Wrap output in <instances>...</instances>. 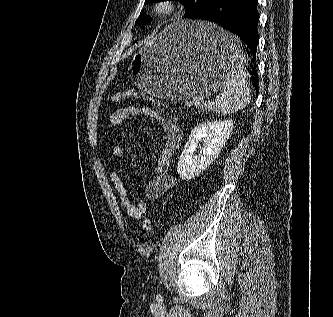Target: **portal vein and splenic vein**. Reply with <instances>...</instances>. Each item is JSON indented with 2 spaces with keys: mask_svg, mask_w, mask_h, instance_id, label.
Masks as SVG:
<instances>
[{
  "mask_svg": "<svg viewBox=\"0 0 333 317\" xmlns=\"http://www.w3.org/2000/svg\"><path fill=\"white\" fill-rule=\"evenodd\" d=\"M199 103H200V102H198L197 99H193V100H191V101H189V102L187 103V106H193V105L197 106ZM203 103H204V104H210V105H211V102L207 103V101H205V102H203Z\"/></svg>",
  "mask_w": 333,
  "mask_h": 317,
  "instance_id": "obj_1",
  "label": "portal vein and splenic vein"
}]
</instances>
